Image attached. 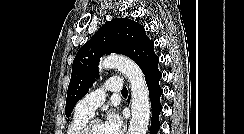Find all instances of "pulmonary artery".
Masks as SVG:
<instances>
[{
    "label": "pulmonary artery",
    "instance_id": "e3ab8cb5",
    "mask_svg": "<svg viewBox=\"0 0 244 134\" xmlns=\"http://www.w3.org/2000/svg\"><path fill=\"white\" fill-rule=\"evenodd\" d=\"M123 88L119 78H111L102 88L96 89L83 97L76 105L75 112L92 117L95 110L104 102L106 92L118 93Z\"/></svg>",
    "mask_w": 244,
    "mask_h": 134
}]
</instances>
